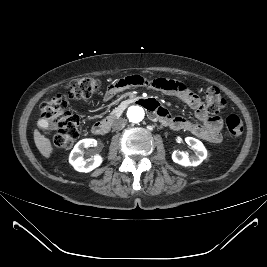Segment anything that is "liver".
<instances>
[{"label": "liver", "mask_w": 267, "mask_h": 267, "mask_svg": "<svg viewBox=\"0 0 267 267\" xmlns=\"http://www.w3.org/2000/svg\"><path fill=\"white\" fill-rule=\"evenodd\" d=\"M34 142L39 152L45 157L49 158L53 152V147L51 141L46 138L44 135H41L40 132L35 129L34 130Z\"/></svg>", "instance_id": "6515ba94"}]
</instances>
